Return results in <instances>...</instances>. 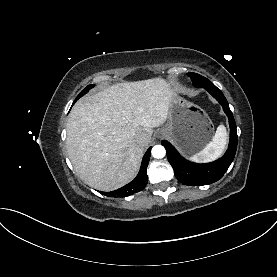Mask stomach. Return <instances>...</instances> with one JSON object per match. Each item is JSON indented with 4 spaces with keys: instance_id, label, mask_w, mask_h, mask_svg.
<instances>
[{
    "instance_id": "stomach-1",
    "label": "stomach",
    "mask_w": 277,
    "mask_h": 277,
    "mask_svg": "<svg viewBox=\"0 0 277 277\" xmlns=\"http://www.w3.org/2000/svg\"><path fill=\"white\" fill-rule=\"evenodd\" d=\"M163 131L186 155L203 150L214 134L213 123L208 114L201 107L178 95L170 101Z\"/></svg>"
}]
</instances>
